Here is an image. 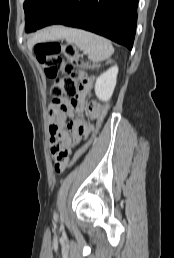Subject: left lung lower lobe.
<instances>
[{"label":"left lung lower lobe","instance_id":"0a47b994","mask_svg":"<svg viewBox=\"0 0 174 258\" xmlns=\"http://www.w3.org/2000/svg\"><path fill=\"white\" fill-rule=\"evenodd\" d=\"M139 0H61L40 28L62 24L133 47Z\"/></svg>","mask_w":174,"mask_h":258}]
</instances>
